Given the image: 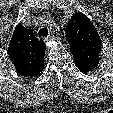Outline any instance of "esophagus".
Segmentation results:
<instances>
[{
	"mask_svg": "<svg viewBox=\"0 0 113 113\" xmlns=\"http://www.w3.org/2000/svg\"><path fill=\"white\" fill-rule=\"evenodd\" d=\"M53 39H54V35L53 34H51L47 38H45L46 41L53 40Z\"/></svg>",
	"mask_w": 113,
	"mask_h": 113,
	"instance_id": "esophagus-1",
	"label": "esophagus"
}]
</instances>
